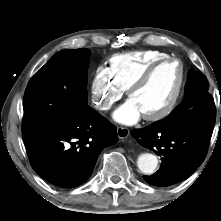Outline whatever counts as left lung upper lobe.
Here are the masks:
<instances>
[{
	"instance_id": "obj_1",
	"label": "left lung upper lobe",
	"mask_w": 221,
	"mask_h": 221,
	"mask_svg": "<svg viewBox=\"0 0 221 221\" xmlns=\"http://www.w3.org/2000/svg\"><path fill=\"white\" fill-rule=\"evenodd\" d=\"M207 78L194 70L188 75L182 103L156 124L163 129L197 126L213 129L216 120L214 99L208 93Z\"/></svg>"
}]
</instances>
